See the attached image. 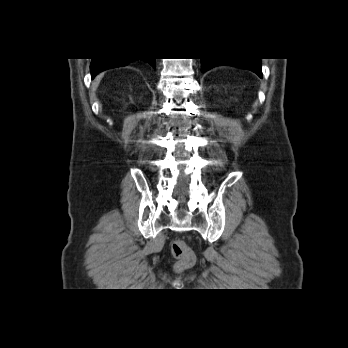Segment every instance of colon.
<instances>
[{
	"label": "colon",
	"instance_id": "colon-1",
	"mask_svg": "<svg viewBox=\"0 0 348 348\" xmlns=\"http://www.w3.org/2000/svg\"><path fill=\"white\" fill-rule=\"evenodd\" d=\"M171 253L177 260L176 270L178 271L191 267L195 262L193 252L182 240H175L171 243Z\"/></svg>",
	"mask_w": 348,
	"mask_h": 348
}]
</instances>
